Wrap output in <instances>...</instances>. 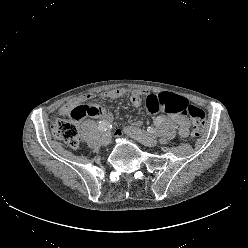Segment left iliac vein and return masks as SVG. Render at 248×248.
Wrapping results in <instances>:
<instances>
[{
  "label": "left iliac vein",
  "instance_id": "4c4485c4",
  "mask_svg": "<svg viewBox=\"0 0 248 248\" xmlns=\"http://www.w3.org/2000/svg\"><path fill=\"white\" fill-rule=\"evenodd\" d=\"M125 131L132 138L140 141L142 144L148 147H155L158 144V141L155 136L147 133L142 129H138L135 127H127Z\"/></svg>",
  "mask_w": 248,
  "mask_h": 248
}]
</instances>
